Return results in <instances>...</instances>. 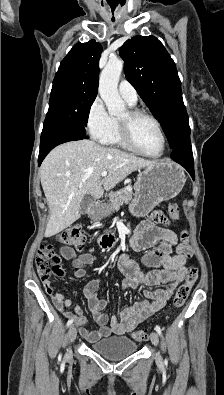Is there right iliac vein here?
Listing matches in <instances>:
<instances>
[{
  "label": "right iliac vein",
  "mask_w": 224,
  "mask_h": 395,
  "mask_svg": "<svg viewBox=\"0 0 224 395\" xmlns=\"http://www.w3.org/2000/svg\"><path fill=\"white\" fill-rule=\"evenodd\" d=\"M76 336H77V329H76V327L74 325H72L70 327L69 331H68V339H69L70 344L75 341ZM66 355H67V357H70L72 355L71 347H69L67 349V354Z\"/></svg>",
  "instance_id": "1"
}]
</instances>
